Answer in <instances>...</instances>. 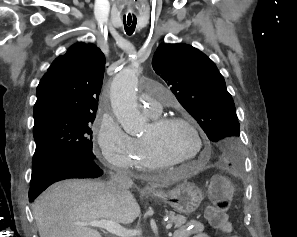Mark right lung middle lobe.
<instances>
[{
  "label": "right lung middle lobe",
  "mask_w": 297,
  "mask_h": 237,
  "mask_svg": "<svg viewBox=\"0 0 297 237\" xmlns=\"http://www.w3.org/2000/svg\"><path fill=\"white\" fill-rule=\"evenodd\" d=\"M96 113L87 115H51L33 127L36 150L32 169L38 162L58 153H77L95 158L92 152L91 125Z\"/></svg>",
  "instance_id": "1"
}]
</instances>
